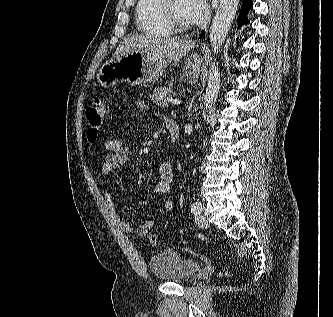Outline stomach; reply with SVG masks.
I'll list each match as a JSON object with an SVG mask.
<instances>
[{"label": "stomach", "instance_id": "obj_1", "mask_svg": "<svg viewBox=\"0 0 333 317\" xmlns=\"http://www.w3.org/2000/svg\"><path fill=\"white\" fill-rule=\"evenodd\" d=\"M202 58L192 54L185 62L184 72L189 82L195 83L200 73ZM167 62L141 51H128L107 61L98 71L97 81L103 88L115 85L119 81L129 85H143L161 77Z\"/></svg>", "mask_w": 333, "mask_h": 317}]
</instances>
